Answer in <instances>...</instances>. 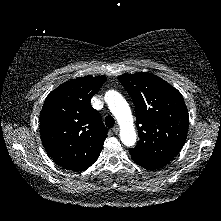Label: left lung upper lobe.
I'll list each match as a JSON object with an SVG mask.
<instances>
[{
    "mask_svg": "<svg viewBox=\"0 0 221 221\" xmlns=\"http://www.w3.org/2000/svg\"><path fill=\"white\" fill-rule=\"evenodd\" d=\"M119 81L136 108L139 141L132 159L167 164L183 147L188 111L181 93L151 73L122 74Z\"/></svg>",
    "mask_w": 221,
    "mask_h": 221,
    "instance_id": "left-lung-upper-lobe-1",
    "label": "left lung upper lobe"
}]
</instances>
